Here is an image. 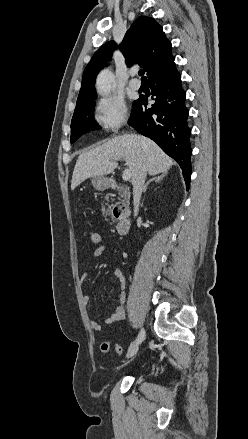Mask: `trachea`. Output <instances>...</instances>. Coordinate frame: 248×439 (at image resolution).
<instances>
[{
  "label": "trachea",
  "instance_id": "trachea-1",
  "mask_svg": "<svg viewBox=\"0 0 248 439\" xmlns=\"http://www.w3.org/2000/svg\"><path fill=\"white\" fill-rule=\"evenodd\" d=\"M144 70L143 69H140L139 70V76H141L142 77V79H144V80H146V77L144 76Z\"/></svg>",
  "mask_w": 248,
  "mask_h": 439
}]
</instances>
